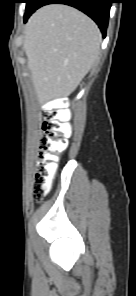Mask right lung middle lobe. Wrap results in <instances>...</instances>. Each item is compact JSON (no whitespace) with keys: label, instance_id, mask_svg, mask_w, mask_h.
Returning <instances> with one entry per match:
<instances>
[{"label":"right lung middle lobe","instance_id":"obj_1","mask_svg":"<svg viewBox=\"0 0 136 296\" xmlns=\"http://www.w3.org/2000/svg\"><path fill=\"white\" fill-rule=\"evenodd\" d=\"M35 0H26V12L25 15L28 14L30 12V10L32 9V4L34 3Z\"/></svg>","mask_w":136,"mask_h":296}]
</instances>
